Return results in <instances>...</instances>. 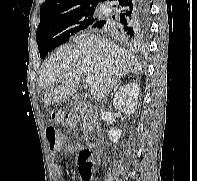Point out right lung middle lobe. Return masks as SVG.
Here are the masks:
<instances>
[{
    "label": "right lung middle lobe",
    "mask_w": 197,
    "mask_h": 181,
    "mask_svg": "<svg viewBox=\"0 0 197 181\" xmlns=\"http://www.w3.org/2000/svg\"><path fill=\"white\" fill-rule=\"evenodd\" d=\"M96 6L80 7L40 20L36 32L40 57L45 58L51 50L67 42L80 30L92 27L98 21V16L94 13Z\"/></svg>",
    "instance_id": "obj_1"
}]
</instances>
